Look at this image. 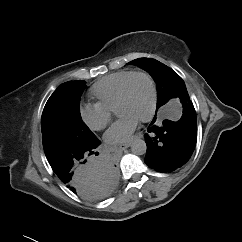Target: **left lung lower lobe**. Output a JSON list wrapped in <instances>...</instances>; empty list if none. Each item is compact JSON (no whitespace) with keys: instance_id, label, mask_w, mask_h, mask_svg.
<instances>
[{"instance_id":"1","label":"left lung lower lobe","mask_w":242,"mask_h":242,"mask_svg":"<svg viewBox=\"0 0 242 242\" xmlns=\"http://www.w3.org/2000/svg\"><path fill=\"white\" fill-rule=\"evenodd\" d=\"M183 106L178 121L165 119L155 123L156 116L145 135L147 152L145 163L158 172H172L181 168L191 157L197 141V119L189 95L179 97Z\"/></svg>"}]
</instances>
